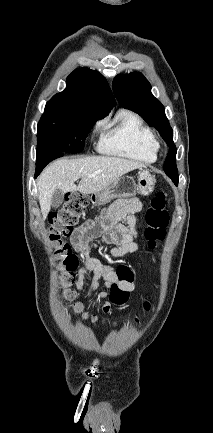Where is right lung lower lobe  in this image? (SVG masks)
<instances>
[{"mask_svg":"<svg viewBox=\"0 0 213 433\" xmlns=\"http://www.w3.org/2000/svg\"><path fill=\"white\" fill-rule=\"evenodd\" d=\"M65 154V152L61 151H50L46 152L44 154L38 155L36 157V171H35V177H37L40 172L43 170V168L52 160L61 157Z\"/></svg>","mask_w":213,"mask_h":433,"instance_id":"1","label":"right lung lower lobe"}]
</instances>
